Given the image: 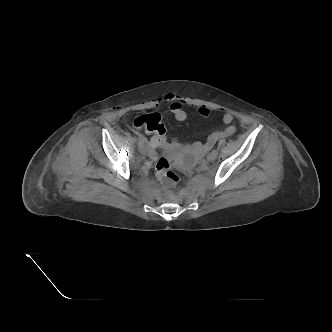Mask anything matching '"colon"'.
<instances>
[{"instance_id": "colon-1", "label": "colon", "mask_w": 332, "mask_h": 332, "mask_svg": "<svg viewBox=\"0 0 332 332\" xmlns=\"http://www.w3.org/2000/svg\"><path fill=\"white\" fill-rule=\"evenodd\" d=\"M135 125L145 128L148 132L152 133L158 145L161 147L166 146V130L158 113H150L136 118ZM155 172L157 179L169 186L177 185L180 180L179 176L173 170L170 161L164 157L157 161Z\"/></svg>"}]
</instances>
